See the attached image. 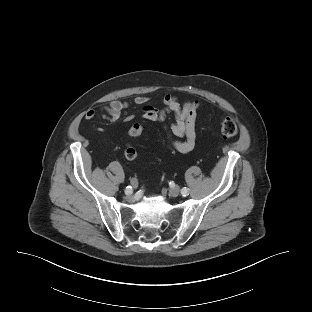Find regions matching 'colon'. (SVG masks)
I'll use <instances>...</instances> for the list:
<instances>
[{
	"instance_id": "colon-1",
	"label": "colon",
	"mask_w": 312,
	"mask_h": 312,
	"mask_svg": "<svg viewBox=\"0 0 312 312\" xmlns=\"http://www.w3.org/2000/svg\"><path fill=\"white\" fill-rule=\"evenodd\" d=\"M143 132V126L140 123H134L128 130V135L132 138L138 137ZM221 132L226 137H233L238 133V126L232 118H223L221 121ZM124 155L128 160H133L137 157V150L128 145L124 151Z\"/></svg>"
}]
</instances>
